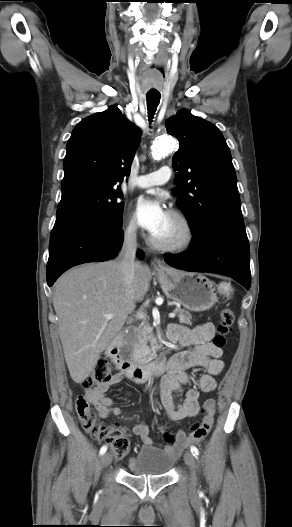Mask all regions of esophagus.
Masks as SVG:
<instances>
[{"label":"esophagus","instance_id":"obj_1","mask_svg":"<svg viewBox=\"0 0 292 527\" xmlns=\"http://www.w3.org/2000/svg\"><path fill=\"white\" fill-rule=\"evenodd\" d=\"M152 266L153 268L156 270V271H163V270H166V267L165 265L163 264V262L158 259V258H154L153 261H152Z\"/></svg>","mask_w":292,"mask_h":527}]
</instances>
